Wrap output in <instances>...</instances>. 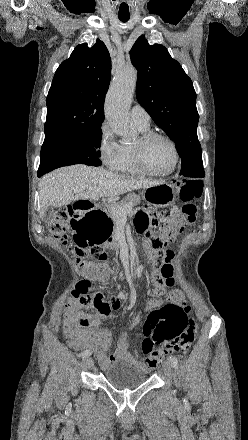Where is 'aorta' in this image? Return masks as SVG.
Returning <instances> with one entry per match:
<instances>
[{"mask_svg": "<svg viewBox=\"0 0 248 440\" xmlns=\"http://www.w3.org/2000/svg\"><path fill=\"white\" fill-rule=\"evenodd\" d=\"M137 82L133 67L121 70L111 85L106 98L105 116L111 130L124 141L132 140L136 133L130 126L129 105Z\"/></svg>", "mask_w": 248, "mask_h": 440, "instance_id": "aorta-1", "label": "aorta"}]
</instances>
